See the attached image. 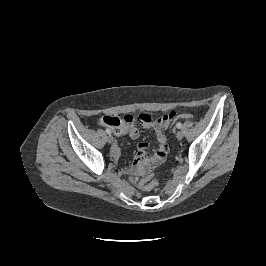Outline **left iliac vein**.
Wrapping results in <instances>:
<instances>
[{"label":"left iliac vein","instance_id":"4c4485c4","mask_svg":"<svg viewBox=\"0 0 266 266\" xmlns=\"http://www.w3.org/2000/svg\"><path fill=\"white\" fill-rule=\"evenodd\" d=\"M176 138H177L178 140H181V139L183 138V133H182L181 131H178V132L176 133Z\"/></svg>","mask_w":266,"mask_h":266}]
</instances>
